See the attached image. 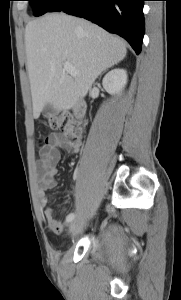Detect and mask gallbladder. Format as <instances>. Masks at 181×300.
Segmentation results:
<instances>
[{
    "label": "gallbladder",
    "mask_w": 181,
    "mask_h": 300,
    "mask_svg": "<svg viewBox=\"0 0 181 300\" xmlns=\"http://www.w3.org/2000/svg\"><path fill=\"white\" fill-rule=\"evenodd\" d=\"M51 108H52V106L49 104L45 106V109H51Z\"/></svg>",
    "instance_id": "gallbladder-1"
}]
</instances>
